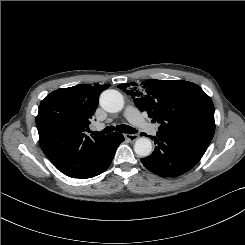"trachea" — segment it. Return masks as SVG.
I'll list each match as a JSON object with an SVG mask.
<instances>
[{
  "mask_svg": "<svg viewBox=\"0 0 245 245\" xmlns=\"http://www.w3.org/2000/svg\"><path fill=\"white\" fill-rule=\"evenodd\" d=\"M115 129L117 131H119V132L129 133V134H133V133H136L137 132L134 128H132V127H130L128 125H125V124H121V125H118L116 127H114V126H108V127L104 128L100 132H98V131H94V132L91 131V133L93 135H104V134H108V133L113 132Z\"/></svg>",
  "mask_w": 245,
  "mask_h": 245,
  "instance_id": "obj_1",
  "label": "trachea"
}]
</instances>
